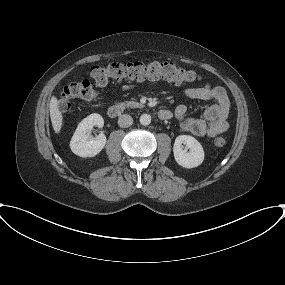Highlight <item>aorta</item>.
<instances>
[{
	"label": "aorta",
	"instance_id": "obj_1",
	"mask_svg": "<svg viewBox=\"0 0 285 285\" xmlns=\"http://www.w3.org/2000/svg\"><path fill=\"white\" fill-rule=\"evenodd\" d=\"M140 123L144 126H147L151 123V116L148 114H142L140 116Z\"/></svg>",
	"mask_w": 285,
	"mask_h": 285
}]
</instances>
